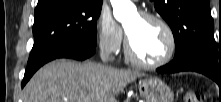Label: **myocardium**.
<instances>
[{"label":"myocardium","mask_w":221,"mask_h":102,"mask_svg":"<svg viewBox=\"0 0 221 102\" xmlns=\"http://www.w3.org/2000/svg\"><path fill=\"white\" fill-rule=\"evenodd\" d=\"M139 16L144 19H147V20L155 21L162 26V28L165 30V32L168 36V41H169L168 50H167V53L165 54V56L156 62L144 61L135 52V50L132 46L131 40H130L129 36L127 35V38H126L127 57L129 58V60L132 63H134L135 65L140 66L142 68L156 69V68L162 67V66L166 65L167 63H169L175 54L176 46H177L175 33H174L172 27L170 26V24L162 16H160L156 13H152L149 11H141V12H139Z\"/></svg>","instance_id":"obj_1"}]
</instances>
